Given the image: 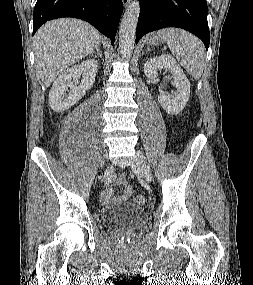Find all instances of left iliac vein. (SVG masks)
I'll list each match as a JSON object with an SVG mask.
<instances>
[{
    "instance_id": "1",
    "label": "left iliac vein",
    "mask_w": 253,
    "mask_h": 285,
    "mask_svg": "<svg viewBox=\"0 0 253 285\" xmlns=\"http://www.w3.org/2000/svg\"><path fill=\"white\" fill-rule=\"evenodd\" d=\"M131 168L135 173L142 175L146 181L151 182L152 173L150 166L148 165L145 156L139 151L137 152L135 158L133 159Z\"/></svg>"
}]
</instances>
